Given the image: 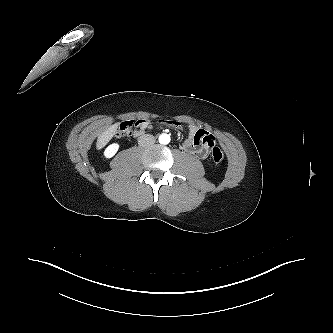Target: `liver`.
Masks as SVG:
<instances>
[{
    "label": "liver",
    "mask_w": 333,
    "mask_h": 333,
    "mask_svg": "<svg viewBox=\"0 0 333 333\" xmlns=\"http://www.w3.org/2000/svg\"><path fill=\"white\" fill-rule=\"evenodd\" d=\"M118 124H114L110 126L108 129H106L98 138L97 140V147L101 148L105 146L111 138L114 136L116 130H117Z\"/></svg>",
    "instance_id": "obj_1"
}]
</instances>
